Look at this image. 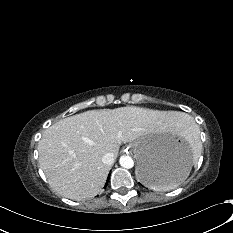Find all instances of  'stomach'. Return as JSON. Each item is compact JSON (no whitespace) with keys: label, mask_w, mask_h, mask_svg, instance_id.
<instances>
[{"label":"stomach","mask_w":233,"mask_h":233,"mask_svg":"<svg viewBox=\"0 0 233 233\" xmlns=\"http://www.w3.org/2000/svg\"><path fill=\"white\" fill-rule=\"evenodd\" d=\"M136 175L147 187H169L185 178L192 167L189 147L165 133L150 132L132 143Z\"/></svg>","instance_id":"stomach-1"}]
</instances>
